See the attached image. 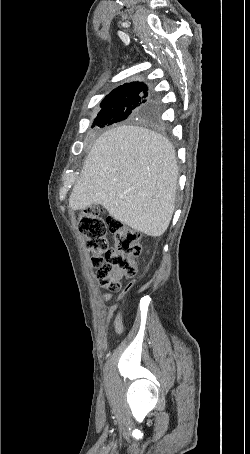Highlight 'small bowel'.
<instances>
[{
	"label": "small bowel",
	"mask_w": 250,
	"mask_h": 454,
	"mask_svg": "<svg viewBox=\"0 0 250 454\" xmlns=\"http://www.w3.org/2000/svg\"><path fill=\"white\" fill-rule=\"evenodd\" d=\"M114 327L117 332H122L123 331V321H122V313L119 312L116 314L115 319H114Z\"/></svg>",
	"instance_id": "c3829d8e"
}]
</instances>
